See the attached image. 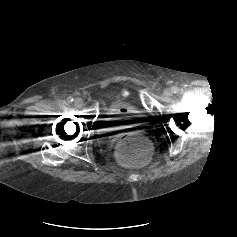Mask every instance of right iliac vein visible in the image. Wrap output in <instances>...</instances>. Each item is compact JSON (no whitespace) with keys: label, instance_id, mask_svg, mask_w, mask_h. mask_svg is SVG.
Wrapping results in <instances>:
<instances>
[{"label":"right iliac vein","instance_id":"right-iliac-vein-1","mask_svg":"<svg viewBox=\"0 0 237 237\" xmlns=\"http://www.w3.org/2000/svg\"><path fill=\"white\" fill-rule=\"evenodd\" d=\"M83 100L81 99V98H76L75 100H74V105L77 107V108H80V107H82L83 106Z\"/></svg>","mask_w":237,"mask_h":237}]
</instances>
